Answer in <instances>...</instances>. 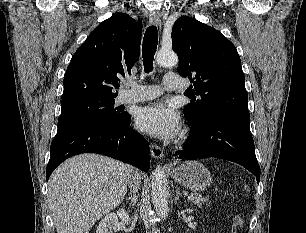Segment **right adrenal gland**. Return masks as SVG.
I'll return each mask as SVG.
<instances>
[{"instance_id": "1", "label": "right adrenal gland", "mask_w": 306, "mask_h": 233, "mask_svg": "<svg viewBox=\"0 0 306 233\" xmlns=\"http://www.w3.org/2000/svg\"><path fill=\"white\" fill-rule=\"evenodd\" d=\"M127 202H130V207L131 206H134L135 204H136V202H137V196H136V194L134 193L133 195H131L130 197H128V198H126L125 199Z\"/></svg>"}]
</instances>
